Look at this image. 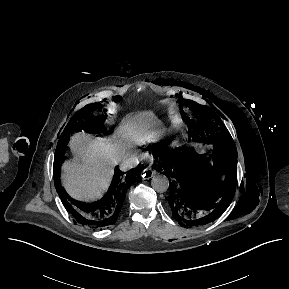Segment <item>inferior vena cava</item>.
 I'll list each match as a JSON object with an SVG mask.
<instances>
[{"label":"inferior vena cava","instance_id":"602c4592","mask_svg":"<svg viewBox=\"0 0 289 289\" xmlns=\"http://www.w3.org/2000/svg\"><path fill=\"white\" fill-rule=\"evenodd\" d=\"M135 166H136V163L133 160H131V161L126 162L124 169L128 170V169L133 168Z\"/></svg>","mask_w":289,"mask_h":289}]
</instances>
